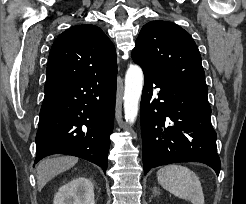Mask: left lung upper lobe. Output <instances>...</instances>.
Returning <instances> with one entry per match:
<instances>
[{"mask_svg":"<svg viewBox=\"0 0 246 204\" xmlns=\"http://www.w3.org/2000/svg\"><path fill=\"white\" fill-rule=\"evenodd\" d=\"M144 73L206 84L200 52L187 31L167 21L144 25L132 51Z\"/></svg>","mask_w":246,"mask_h":204,"instance_id":"5c2ea615","label":"left lung upper lobe"}]
</instances>
